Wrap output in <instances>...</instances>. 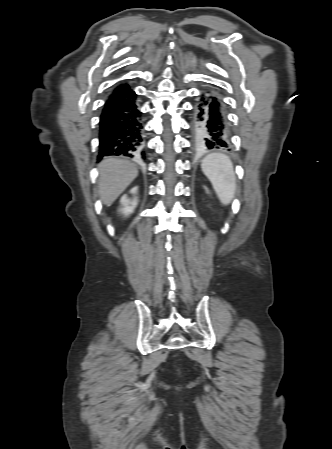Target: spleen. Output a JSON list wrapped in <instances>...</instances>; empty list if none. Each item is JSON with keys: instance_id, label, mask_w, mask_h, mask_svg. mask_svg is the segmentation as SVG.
Listing matches in <instances>:
<instances>
[{"instance_id": "spleen-1", "label": "spleen", "mask_w": 332, "mask_h": 449, "mask_svg": "<svg viewBox=\"0 0 332 449\" xmlns=\"http://www.w3.org/2000/svg\"><path fill=\"white\" fill-rule=\"evenodd\" d=\"M201 169L212 183L221 202L224 205L229 204L236 190V178L230 158L221 153L209 154L202 160Z\"/></svg>"}]
</instances>
